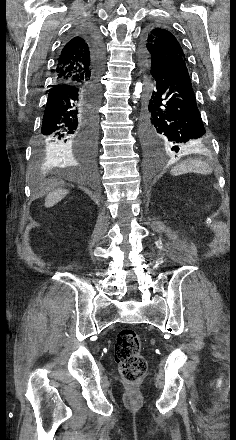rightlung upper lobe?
<instances>
[{
    "instance_id": "obj_1",
    "label": "right lung upper lobe",
    "mask_w": 236,
    "mask_h": 440,
    "mask_svg": "<svg viewBox=\"0 0 236 440\" xmlns=\"http://www.w3.org/2000/svg\"><path fill=\"white\" fill-rule=\"evenodd\" d=\"M92 76L90 48L82 36L75 35L64 45L59 54L54 85L64 83L86 85L91 82Z\"/></svg>"
}]
</instances>
